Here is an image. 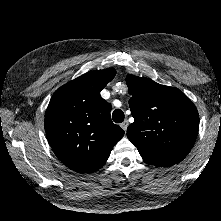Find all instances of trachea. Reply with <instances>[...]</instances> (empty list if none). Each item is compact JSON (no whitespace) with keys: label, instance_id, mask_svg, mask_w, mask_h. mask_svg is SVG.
Wrapping results in <instances>:
<instances>
[{"label":"trachea","instance_id":"3493384b","mask_svg":"<svg viewBox=\"0 0 221 221\" xmlns=\"http://www.w3.org/2000/svg\"><path fill=\"white\" fill-rule=\"evenodd\" d=\"M124 117V112L121 109H116L112 114V119L115 123L123 122Z\"/></svg>","mask_w":221,"mask_h":221}]
</instances>
